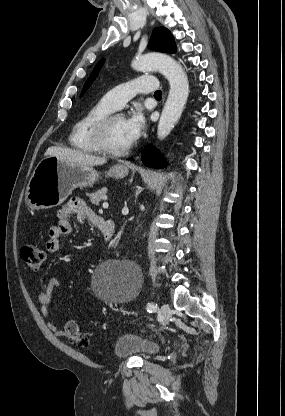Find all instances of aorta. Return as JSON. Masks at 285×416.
<instances>
[{"label": "aorta", "mask_w": 285, "mask_h": 416, "mask_svg": "<svg viewBox=\"0 0 285 416\" xmlns=\"http://www.w3.org/2000/svg\"><path fill=\"white\" fill-rule=\"evenodd\" d=\"M137 71H159L170 84L167 101L157 128L158 139L167 137L179 120L189 94V83L182 66L169 56L148 53L132 62Z\"/></svg>", "instance_id": "762f6f07"}]
</instances>
